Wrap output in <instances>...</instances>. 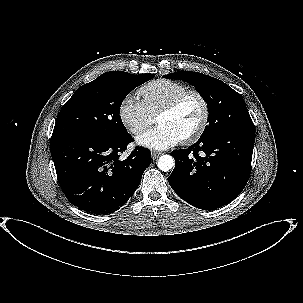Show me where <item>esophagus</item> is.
I'll use <instances>...</instances> for the list:
<instances>
[{"label":"esophagus","instance_id":"34e87169","mask_svg":"<svg viewBox=\"0 0 303 303\" xmlns=\"http://www.w3.org/2000/svg\"><path fill=\"white\" fill-rule=\"evenodd\" d=\"M152 159L155 160L156 158H158L161 155V152H157V151H152Z\"/></svg>","mask_w":303,"mask_h":303}]
</instances>
